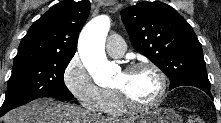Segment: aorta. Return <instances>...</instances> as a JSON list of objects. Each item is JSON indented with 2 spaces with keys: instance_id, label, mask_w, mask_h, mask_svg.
I'll list each match as a JSON object with an SVG mask.
<instances>
[{
  "instance_id": "aorta-1",
  "label": "aorta",
  "mask_w": 221,
  "mask_h": 123,
  "mask_svg": "<svg viewBox=\"0 0 221 123\" xmlns=\"http://www.w3.org/2000/svg\"><path fill=\"white\" fill-rule=\"evenodd\" d=\"M110 29V18L100 15L90 20L83 28L78 42V51L83 65L99 86L112 82L115 66L105 54V41Z\"/></svg>"
}]
</instances>
